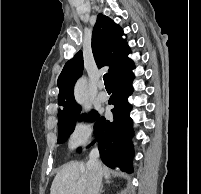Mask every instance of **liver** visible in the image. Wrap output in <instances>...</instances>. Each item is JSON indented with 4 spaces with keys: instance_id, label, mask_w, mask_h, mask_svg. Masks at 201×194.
Wrapping results in <instances>:
<instances>
[{
    "instance_id": "6515ba94",
    "label": "liver",
    "mask_w": 201,
    "mask_h": 194,
    "mask_svg": "<svg viewBox=\"0 0 201 194\" xmlns=\"http://www.w3.org/2000/svg\"><path fill=\"white\" fill-rule=\"evenodd\" d=\"M102 175L109 181L110 170L101 166ZM89 170L83 162L65 164L56 174L50 189V194H86Z\"/></svg>"
}]
</instances>
